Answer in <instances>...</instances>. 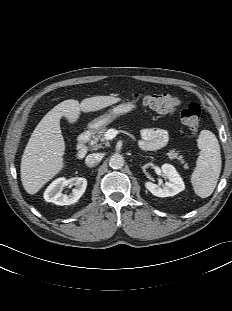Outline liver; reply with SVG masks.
Wrapping results in <instances>:
<instances>
[{
  "label": "liver",
  "instance_id": "obj_1",
  "mask_svg": "<svg viewBox=\"0 0 232 311\" xmlns=\"http://www.w3.org/2000/svg\"><path fill=\"white\" fill-rule=\"evenodd\" d=\"M120 100L113 96L90 97L81 103L68 99L51 109L34 129L21 159V181L25 191L31 195L37 193L64 168L65 142L60 129L62 117H66L69 123H75L81 111H98Z\"/></svg>",
  "mask_w": 232,
  "mask_h": 311
}]
</instances>
